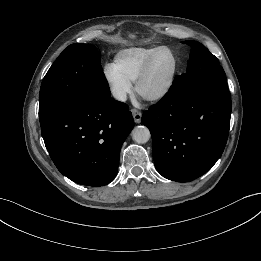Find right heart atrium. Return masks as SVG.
Listing matches in <instances>:
<instances>
[{
  "instance_id": "d8ad5b80",
  "label": "right heart atrium",
  "mask_w": 261,
  "mask_h": 261,
  "mask_svg": "<svg viewBox=\"0 0 261 261\" xmlns=\"http://www.w3.org/2000/svg\"><path fill=\"white\" fill-rule=\"evenodd\" d=\"M103 76L110 93L117 101H125L132 93V83L117 71L113 63L103 67Z\"/></svg>"
}]
</instances>
